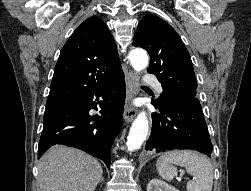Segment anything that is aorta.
<instances>
[{
  "label": "aorta",
  "instance_id": "obj_1",
  "mask_svg": "<svg viewBox=\"0 0 251 191\" xmlns=\"http://www.w3.org/2000/svg\"><path fill=\"white\" fill-rule=\"evenodd\" d=\"M128 58L135 72H141V70H144V68H147L148 66L147 52H145V50H141V48L131 50ZM148 129L149 125L146 111H140L130 127L129 135L126 141L127 149H130V151H133V149H139L143 141L146 139Z\"/></svg>",
  "mask_w": 251,
  "mask_h": 191
}]
</instances>
